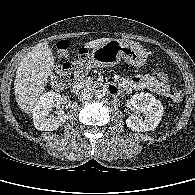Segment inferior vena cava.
Segmentation results:
<instances>
[{"instance_id":"obj_1","label":"inferior vena cava","mask_w":195,"mask_h":195,"mask_svg":"<svg viewBox=\"0 0 195 195\" xmlns=\"http://www.w3.org/2000/svg\"><path fill=\"white\" fill-rule=\"evenodd\" d=\"M93 96V92L88 89H83L78 93V98L80 101L90 100Z\"/></svg>"}]
</instances>
